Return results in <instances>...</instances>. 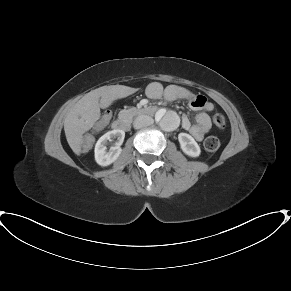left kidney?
Masks as SVG:
<instances>
[{
    "label": "left kidney",
    "mask_w": 291,
    "mask_h": 291,
    "mask_svg": "<svg viewBox=\"0 0 291 291\" xmlns=\"http://www.w3.org/2000/svg\"><path fill=\"white\" fill-rule=\"evenodd\" d=\"M178 140L182 151L190 157H198L201 153L200 147L194 138L187 133H180Z\"/></svg>",
    "instance_id": "1"
}]
</instances>
